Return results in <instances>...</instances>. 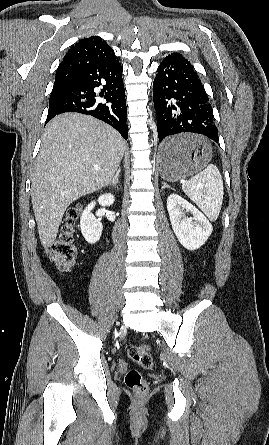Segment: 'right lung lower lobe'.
Wrapping results in <instances>:
<instances>
[{
  "label": "right lung lower lobe",
  "mask_w": 269,
  "mask_h": 445,
  "mask_svg": "<svg viewBox=\"0 0 269 445\" xmlns=\"http://www.w3.org/2000/svg\"><path fill=\"white\" fill-rule=\"evenodd\" d=\"M62 87L63 95L49 102L46 123L58 114L78 112L108 123L124 139L128 138L122 66L116 57L85 69ZM96 87H102L101 93L94 91ZM100 97L106 99V103L100 102Z\"/></svg>",
  "instance_id": "1"
}]
</instances>
